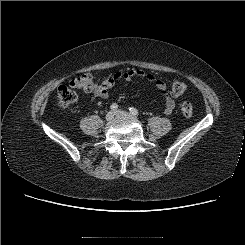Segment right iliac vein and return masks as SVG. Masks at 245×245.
I'll list each match as a JSON object with an SVG mask.
<instances>
[{
    "mask_svg": "<svg viewBox=\"0 0 245 245\" xmlns=\"http://www.w3.org/2000/svg\"><path fill=\"white\" fill-rule=\"evenodd\" d=\"M106 120L107 121H110V120H112L113 118H114V112H112V111H109L107 114H106Z\"/></svg>",
    "mask_w": 245,
    "mask_h": 245,
    "instance_id": "obj_1",
    "label": "right iliac vein"
}]
</instances>
